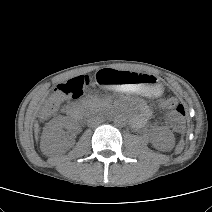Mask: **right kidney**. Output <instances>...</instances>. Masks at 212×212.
<instances>
[{"mask_svg":"<svg viewBox=\"0 0 212 212\" xmlns=\"http://www.w3.org/2000/svg\"><path fill=\"white\" fill-rule=\"evenodd\" d=\"M62 125L58 124L53 130H47L43 133L41 139L42 151L58 149L60 151L68 150L73 144V140L67 138L62 140Z\"/></svg>","mask_w":212,"mask_h":212,"instance_id":"1","label":"right kidney"}]
</instances>
